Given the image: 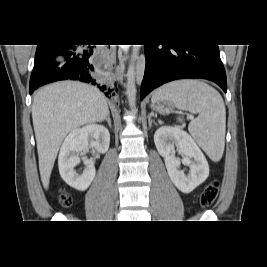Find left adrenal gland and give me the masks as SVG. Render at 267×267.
I'll use <instances>...</instances> for the list:
<instances>
[{"instance_id": "1", "label": "left adrenal gland", "mask_w": 267, "mask_h": 267, "mask_svg": "<svg viewBox=\"0 0 267 267\" xmlns=\"http://www.w3.org/2000/svg\"><path fill=\"white\" fill-rule=\"evenodd\" d=\"M152 115H153L152 113L148 115L149 128H151L152 123L156 125L155 121L151 119Z\"/></svg>"}]
</instances>
